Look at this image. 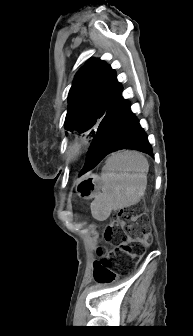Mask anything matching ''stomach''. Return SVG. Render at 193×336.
Here are the masks:
<instances>
[{"label": "stomach", "mask_w": 193, "mask_h": 336, "mask_svg": "<svg viewBox=\"0 0 193 336\" xmlns=\"http://www.w3.org/2000/svg\"><path fill=\"white\" fill-rule=\"evenodd\" d=\"M101 186V178L96 174H92L80 178L77 181L76 189L80 197L89 200L100 193Z\"/></svg>", "instance_id": "obj_1"}]
</instances>
